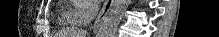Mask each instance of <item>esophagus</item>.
I'll use <instances>...</instances> for the list:
<instances>
[{
  "mask_svg": "<svg viewBox=\"0 0 219 37\" xmlns=\"http://www.w3.org/2000/svg\"><path fill=\"white\" fill-rule=\"evenodd\" d=\"M113 4V0H106L103 4L101 11L99 12L95 22H94V33H97L102 25L103 20L109 13Z\"/></svg>",
  "mask_w": 219,
  "mask_h": 37,
  "instance_id": "34e87169",
  "label": "esophagus"
}]
</instances>
